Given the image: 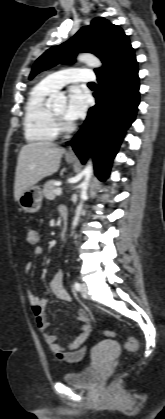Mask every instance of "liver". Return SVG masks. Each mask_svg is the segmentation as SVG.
Returning a JSON list of instances; mask_svg holds the SVG:
<instances>
[{
    "label": "liver",
    "instance_id": "6515ba94",
    "mask_svg": "<svg viewBox=\"0 0 165 419\" xmlns=\"http://www.w3.org/2000/svg\"><path fill=\"white\" fill-rule=\"evenodd\" d=\"M65 149L51 142H33L20 150L14 184V198L18 201L26 189L43 178L56 173Z\"/></svg>",
    "mask_w": 165,
    "mask_h": 419
}]
</instances>
